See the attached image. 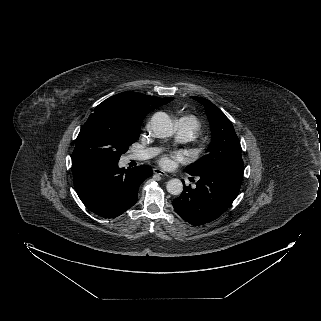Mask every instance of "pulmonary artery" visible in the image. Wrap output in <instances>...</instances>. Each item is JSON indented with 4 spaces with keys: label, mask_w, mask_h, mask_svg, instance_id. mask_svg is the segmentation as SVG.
Here are the masks:
<instances>
[{
    "label": "pulmonary artery",
    "mask_w": 321,
    "mask_h": 321,
    "mask_svg": "<svg viewBox=\"0 0 321 321\" xmlns=\"http://www.w3.org/2000/svg\"><path fill=\"white\" fill-rule=\"evenodd\" d=\"M178 129H179V132H178L179 138L185 141L194 138L197 131V127L194 125V123L185 118H181L179 120ZM155 153H156V149L149 148L146 150L135 152L132 155V158L136 160H146L151 158L153 155H155Z\"/></svg>",
    "instance_id": "1"
}]
</instances>
